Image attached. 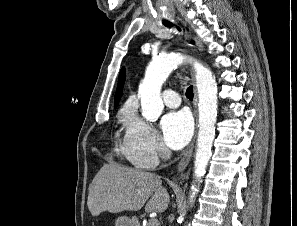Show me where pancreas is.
Here are the masks:
<instances>
[{
  "label": "pancreas",
  "instance_id": "obj_1",
  "mask_svg": "<svg viewBox=\"0 0 297 226\" xmlns=\"http://www.w3.org/2000/svg\"><path fill=\"white\" fill-rule=\"evenodd\" d=\"M147 226H152V225L151 224H147ZM155 226H159V222Z\"/></svg>",
  "mask_w": 297,
  "mask_h": 226
}]
</instances>
